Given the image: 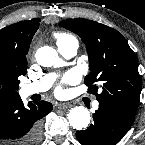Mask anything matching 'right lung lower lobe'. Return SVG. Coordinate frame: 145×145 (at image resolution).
Returning <instances> with one entry per match:
<instances>
[{
    "instance_id": "right-lung-lower-lobe-1",
    "label": "right lung lower lobe",
    "mask_w": 145,
    "mask_h": 145,
    "mask_svg": "<svg viewBox=\"0 0 145 145\" xmlns=\"http://www.w3.org/2000/svg\"><path fill=\"white\" fill-rule=\"evenodd\" d=\"M52 110L46 101L24 106L20 96L0 98V143L5 145H37L40 120Z\"/></svg>"
}]
</instances>
